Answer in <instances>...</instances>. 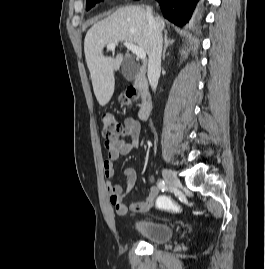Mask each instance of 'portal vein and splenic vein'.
I'll return each mask as SVG.
<instances>
[{
    "label": "portal vein and splenic vein",
    "mask_w": 265,
    "mask_h": 269,
    "mask_svg": "<svg viewBox=\"0 0 265 269\" xmlns=\"http://www.w3.org/2000/svg\"><path fill=\"white\" fill-rule=\"evenodd\" d=\"M117 43H110L107 45V49L114 50ZM123 45L130 50L132 53H134L137 58L144 60L146 58V53L144 49L138 47L137 45L130 43V42H124Z\"/></svg>",
    "instance_id": "portal-vein-and-splenic-vein-1"
}]
</instances>
